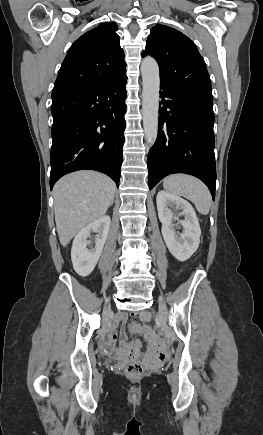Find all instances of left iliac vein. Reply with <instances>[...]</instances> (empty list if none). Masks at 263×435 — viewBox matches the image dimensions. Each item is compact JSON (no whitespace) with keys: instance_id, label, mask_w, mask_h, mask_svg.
<instances>
[{"instance_id":"left-iliac-vein-1","label":"left iliac vein","mask_w":263,"mask_h":435,"mask_svg":"<svg viewBox=\"0 0 263 435\" xmlns=\"http://www.w3.org/2000/svg\"><path fill=\"white\" fill-rule=\"evenodd\" d=\"M160 314H161L162 320H164V321L167 320V317H168L167 309H166V306L162 302H160Z\"/></svg>"}]
</instances>
